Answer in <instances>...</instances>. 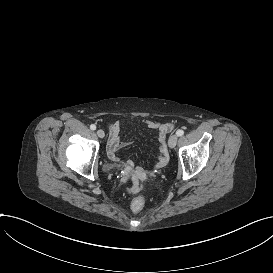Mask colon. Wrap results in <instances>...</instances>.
<instances>
[{"mask_svg": "<svg viewBox=\"0 0 273 273\" xmlns=\"http://www.w3.org/2000/svg\"><path fill=\"white\" fill-rule=\"evenodd\" d=\"M146 204H147V201L145 198L143 197L137 198L131 202L129 210L132 213H137L140 211L141 208L145 207Z\"/></svg>", "mask_w": 273, "mask_h": 273, "instance_id": "1", "label": "colon"}]
</instances>
